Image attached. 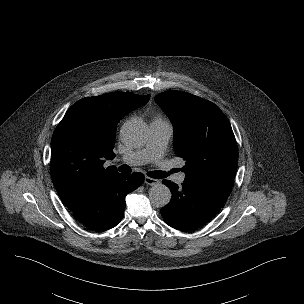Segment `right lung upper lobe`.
<instances>
[{
    "label": "right lung upper lobe",
    "mask_w": 304,
    "mask_h": 304,
    "mask_svg": "<svg viewBox=\"0 0 304 304\" xmlns=\"http://www.w3.org/2000/svg\"><path fill=\"white\" fill-rule=\"evenodd\" d=\"M150 95L107 93L74 103L56 127L51 140V176L63 203L72 211L94 191L115 166L103 167L115 157L118 121L145 105Z\"/></svg>",
    "instance_id": "1"
}]
</instances>
